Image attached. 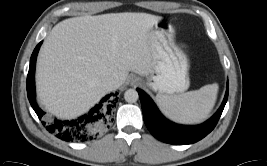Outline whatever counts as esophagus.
<instances>
[{
    "label": "esophagus",
    "mask_w": 267,
    "mask_h": 166,
    "mask_svg": "<svg viewBox=\"0 0 267 166\" xmlns=\"http://www.w3.org/2000/svg\"><path fill=\"white\" fill-rule=\"evenodd\" d=\"M131 86H139L141 85V79L134 77L130 80Z\"/></svg>",
    "instance_id": "obj_1"
}]
</instances>
